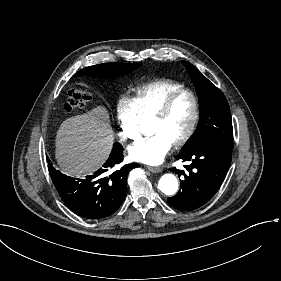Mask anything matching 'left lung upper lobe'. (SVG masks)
<instances>
[{
    "mask_svg": "<svg viewBox=\"0 0 281 281\" xmlns=\"http://www.w3.org/2000/svg\"><path fill=\"white\" fill-rule=\"evenodd\" d=\"M182 64L187 69L199 97L200 119L195 132L181 151L208 144L232 152L233 128L230 108L224 94L194 65L187 61H182Z\"/></svg>",
    "mask_w": 281,
    "mask_h": 281,
    "instance_id": "1",
    "label": "left lung upper lobe"
}]
</instances>
